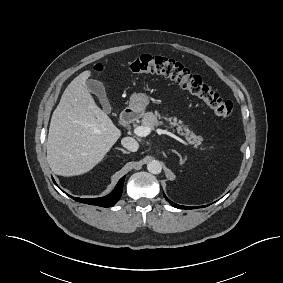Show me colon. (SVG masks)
<instances>
[{
  "label": "colon",
  "instance_id": "obj_1",
  "mask_svg": "<svg viewBox=\"0 0 283 283\" xmlns=\"http://www.w3.org/2000/svg\"><path fill=\"white\" fill-rule=\"evenodd\" d=\"M129 69L135 74L156 73L170 78L183 89L200 98L220 117L228 118L233 113V104L230 101L223 99L200 76L192 74L185 66L175 60L160 56L142 55L131 61Z\"/></svg>",
  "mask_w": 283,
  "mask_h": 283
}]
</instances>
